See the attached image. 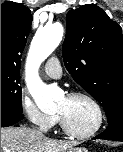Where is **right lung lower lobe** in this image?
<instances>
[{
  "label": "right lung lower lobe",
  "mask_w": 123,
  "mask_h": 152,
  "mask_svg": "<svg viewBox=\"0 0 123 152\" xmlns=\"http://www.w3.org/2000/svg\"><path fill=\"white\" fill-rule=\"evenodd\" d=\"M23 119V114L1 109V127L11 126Z\"/></svg>",
  "instance_id": "obj_1"
}]
</instances>
